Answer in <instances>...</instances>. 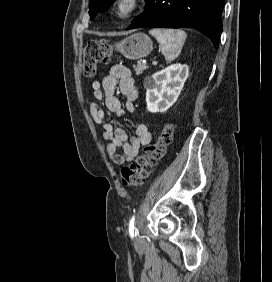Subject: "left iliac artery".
<instances>
[{"label":"left iliac artery","mask_w":272,"mask_h":282,"mask_svg":"<svg viewBox=\"0 0 272 282\" xmlns=\"http://www.w3.org/2000/svg\"><path fill=\"white\" fill-rule=\"evenodd\" d=\"M134 221H135V216H132L129 222V233L131 237L134 236V229H135Z\"/></svg>","instance_id":"obj_1"}]
</instances>
